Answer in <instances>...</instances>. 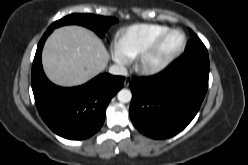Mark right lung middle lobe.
Wrapping results in <instances>:
<instances>
[{"label": "right lung middle lobe", "instance_id": "1", "mask_svg": "<svg viewBox=\"0 0 248 165\" xmlns=\"http://www.w3.org/2000/svg\"><path fill=\"white\" fill-rule=\"evenodd\" d=\"M118 19L113 17L96 16L92 14H71L56 22L48 29L54 30L66 24H78L93 30L99 37H103L108 28Z\"/></svg>", "mask_w": 248, "mask_h": 165}]
</instances>
